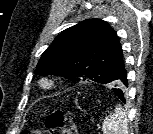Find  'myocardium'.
I'll use <instances>...</instances> for the list:
<instances>
[{
	"mask_svg": "<svg viewBox=\"0 0 153 134\" xmlns=\"http://www.w3.org/2000/svg\"><path fill=\"white\" fill-rule=\"evenodd\" d=\"M59 84V79L54 76H44L39 81V86L44 91L55 90L59 86Z\"/></svg>",
	"mask_w": 153,
	"mask_h": 134,
	"instance_id": "obj_1",
	"label": "myocardium"
}]
</instances>
